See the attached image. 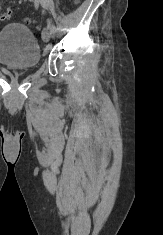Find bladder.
<instances>
[{"instance_id": "1", "label": "bladder", "mask_w": 163, "mask_h": 235, "mask_svg": "<svg viewBox=\"0 0 163 235\" xmlns=\"http://www.w3.org/2000/svg\"><path fill=\"white\" fill-rule=\"evenodd\" d=\"M41 49L33 32L24 24L9 23L0 30V64L12 68L39 65Z\"/></svg>"}]
</instances>
